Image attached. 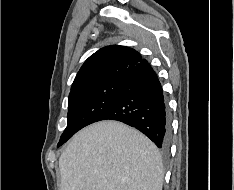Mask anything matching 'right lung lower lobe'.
Returning a JSON list of instances; mask_svg holds the SVG:
<instances>
[{"instance_id": "obj_1", "label": "right lung lower lobe", "mask_w": 234, "mask_h": 190, "mask_svg": "<svg viewBox=\"0 0 234 190\" xmlns=\"http://www.w3.org/2000/svg\"><path fill=\"white\" fill-rule=\"evenodd\" d=\"M135 127L163 151L169 147L170 118L162 86L146 60L125 77L112 106L99 118Z\"/></svg>"}]
</instances>
